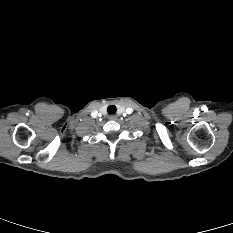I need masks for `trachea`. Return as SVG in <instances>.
<instances>
[{
	"label": "trachea",
	"mask_w": 233,
	"mask_h": 233,
	"mask_svg": "<svg viewBox=\"0 0 233 233\" xmlns=\"http://www.w3.org/2000/svg\"><path fill=\"white\" fill-rule=\"evenodd\" d=\"M107 112L109 114H115L116 113V107L114 105H110L108 108H107Z\"/></svg>",
	"instance_id": "3493384b"
}]
</instances>
